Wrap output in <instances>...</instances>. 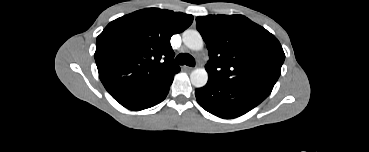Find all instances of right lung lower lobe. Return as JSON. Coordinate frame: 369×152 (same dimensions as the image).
<instances>
[{"instance_id": "obj_1", "label": "right lung lower lobe", "mask_w": 369, "mask_h": 152, "mask_svg": "<svg viewBox=\"0 0 369 152\" xmlns=\"http://www.w3.org/2000/svg\"><path fill=\"white\" fill-rule=\"evenodd\" d=\"M180 69L171 73L160 82L139 90L133 94L116 99L121 105L130 110H143L157 105L165 99L173 82L174 75Z\"/></svg>"}]
</instances>
